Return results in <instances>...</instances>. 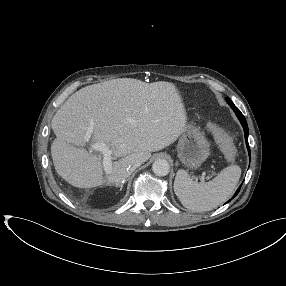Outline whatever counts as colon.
I'll return each mask as SVG.
<instances>
[{
    "mask_svg": "<svg viewBox=\"0 0 286 286\" xmlns=\"http://www.w3.org/2000/svg\"><path fill=\"white\" fill-rule=\"evenodd\" d=\"M209 130L219 146L224 158L229 162L234 161L237 156V151L234 142L228 133L217 124H210Z\"/></svg>",
    "mask_w": 286,
    "mask_h": 286,
    "instance_id": "1",
    "label": "colon"
}]
</instances>
